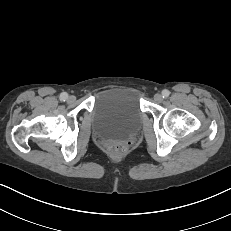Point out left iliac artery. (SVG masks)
Listing matches in <instances>:
<instances>
[{"instance_id":"1","label":"left iliac artery","mask_w":231,"mask_h":231,"mask_svg":"<svg viewBox=\"0 0 231 231\" xmlns=\"http://www.w3.org/2000/svg\"><path fill=\"white\" fill-rule=\"evenodd\" d=\"M169 95H170V91H169V90L164 89V90L162 91V96H163V98H167Z\"/></svg>"}]
</instances>
